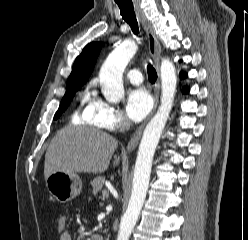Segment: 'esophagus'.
<instances>
[{
  "instance_id": "1",
  "label": "esophagus",
  "mask_w": 248,
  "mask_h": 240,
  "mask_svg": "<svg viewBox=\"0 0 248 240\" xmlns=\"http://www.w3.org/2000/svg\"><path fill=\"white\" fill-rule=\"evenodd\" d=\"M135 9H136V12L138 14L139 19L141 20V23L144 27V30L147 34L148 43H149V51H150V54L152 55V57L155 61L157 72H158V79H157V82L155 85V90H154V108H153V111L151 113V115H153V113L155 112L157 105H158L159 93H160L159 65H160V56H161V45H160L158 39L156 38L153 30L151 29V26L147 22L140 6L136 4ZM147 121H145L142 125H140L139 128L134 133V135L131 137V139L127 145V151L130 152L136 148V146L139 143V140L141 138L142 132L144 130V127H145Z\"/></svg>"
}]
</instances>
